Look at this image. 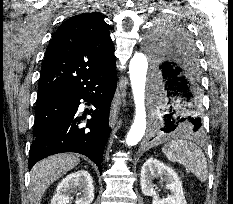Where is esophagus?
I'll return each mask as SVG.
<instances>
[{
	"label": "esophagus",
	"instance_id": "34e87169",
	"mask_svg": "<svg viewBox=\"0 0 233 204\" xmlns=\"http://www.w3.org/2000/svg\"><path fill=\"white\" fill-rule=\"evenodd\" d=\"M120 107H121V95L120 91L117 90L112 102L111 106V111H110V119H109V124L111 127H114L118 116L120 114Z\"/></svg>",
	"mask_w": 233,
	"mask_h": 204
}]
</instances>
